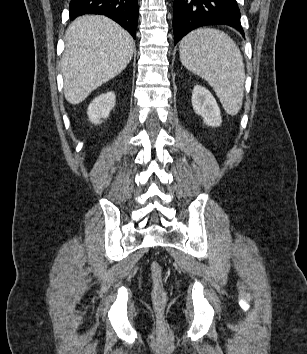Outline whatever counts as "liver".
Returning <instances> with one entry per match:
<instances>
[{"label": "liver", "instance_id": "obj_1", "mask_svg": "<svg viewBox=\"0 0 307 354\" xmlns=\"http://www.w3.org/2000/svg\"><path fill=\"white\" fill-rule=\"evenodd\" d=\"M64 40L61 60L64 95L73 105L121 73L132 59L135 47L126 30L101 15L75 19Z\"/></svg>", "mask_w": 307, "mask_h": 354}]
</instances>
